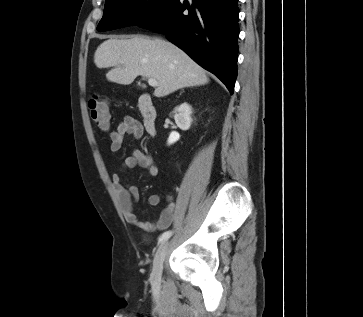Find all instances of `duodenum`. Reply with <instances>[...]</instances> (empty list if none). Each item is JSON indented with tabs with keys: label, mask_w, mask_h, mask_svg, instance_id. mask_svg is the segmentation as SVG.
<instances>
[{
	"label": "duodenum",
	"mask_w": 363,
	"mask_h": 317,
	"mask_svg": "<svg viewBox=\"0 0 363 317\" xmlns=\"http://www.w3.org/2000/svg\"><path fill=\"white\" fill-rule=\"evenodd\" d=\"M138 108L142 116V121L145 130L150 135H156L157 124H156V109L153 104L151 97L148 94H142L138 99Z\"/></svg>",
	"instance_id": "1"
}]
</instances>
